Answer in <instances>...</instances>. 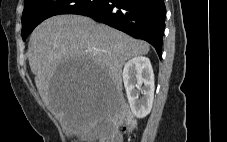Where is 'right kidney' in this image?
Listing matches in <instances>:
<instances>
[{"instance_id": "1", "label": "right kidney", "mask_w": 227, "mask_h": 142, "mask_svg": "<svg viewBox=\"0 0 227 142\" xmlns=\"http://www.w3.org/2000/svg\"><path fill=\"white\" fill-rule=\"evenodd\" d=\"M123 82L132 113L137 118H144L150 113L154 99V74L150 60L143 56L129 60L123 69Z\"/></svg>"}]
</instances>
